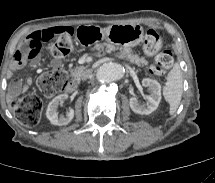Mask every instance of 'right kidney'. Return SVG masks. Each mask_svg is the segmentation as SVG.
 Listing matches in <instances>:
<instances>
[{
  "label": "right kidney",
  "instance_id": "obj_1",
  "mask_svg": "<svg viewBox=\"0 0 215 183\" xmlns=\"http://www.w3.org/2000/svg\"><path fill=\"white\" fill-rule=\"evenodd\" d=\"M67 98V94H61L52 99V101L48 104L46 117L49 119L51 124L63 126L67 125L73 119L74 110L72 108H69L65 115H58L57 112L59 104L63 103L65 100H67Z\"/></svg>",
  "mask_w": 215,
  "mask_h": 183
}]
</instances>
